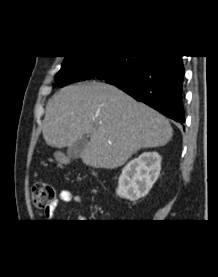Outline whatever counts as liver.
Wrapping results in <instances>:
<instances>
[{
    "mask_svg": "<svg viewBox=\"0 0 218 277\" xmlns=\"http://www.w3.org/2000/svg\"><path fill=\"white\" fill-rule=\"evenodd\" d=\"M47 145L70 147L85 134L81 159L94 168L122 166L142 148L166 145L169 121L118 88L90 82L62 88L48 102L42 127Z\"/></svg>",
    "mask_w": 218,
    "mask_h": 277,
    "instance_id": "obj_1",
    "label": "liver"
}]
</instances>
